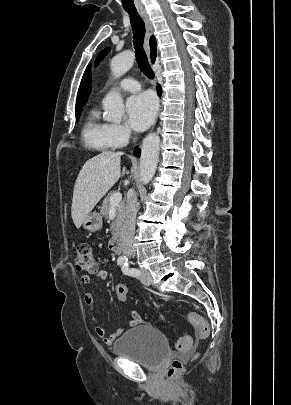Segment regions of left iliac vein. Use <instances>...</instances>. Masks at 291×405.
I'll use <instances>...</instances> for the list:
<instances>
[{
  "instance_id": "left-iliac-vein-1",
  "label": "left iliac vein",
  "mask_w": 291,
  "mask_h": 405,
  "mask_svg": "<svg viewBox=\"0 0 291 405\" xmlns=\"http://www.w3.org/2000/svg\"><path fill=\"white\" fill-rule=\"evenodd\" d=\"M139 279L146 286H149L152 282L150 273L144 268L140 269Z\"/></svg>"
}]
</instances>
